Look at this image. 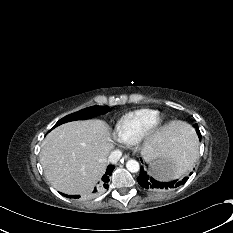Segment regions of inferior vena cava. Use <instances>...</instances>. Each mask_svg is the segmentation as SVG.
<instances>
[{"instance_id": "602c4592", "label": "inferior vena cava", "mask_w": 233, "mask_h": 233, "mask_svg": "<svg viewBox=\"0 0 233 233\" xmlns=\"http://www.w3.org/2000/svg\"><path fill=\"white\" fill-rule=\"evenodd\" d=\"M122 156V152L120 150H115L113 152L110 153L109 157H108V162L112 163V164H116L119 159Z\"/></svg>"}]
</instances>
